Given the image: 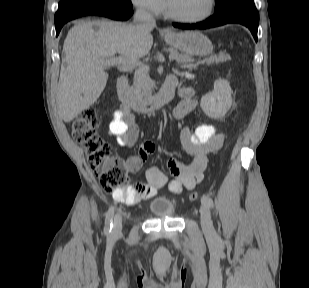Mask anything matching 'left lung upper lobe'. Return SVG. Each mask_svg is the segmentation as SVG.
Masks as SVG:
<instances>
[{
    "label": "left lung upper lobe",
    "mask_w": 309,
    "mask_h": 288,
    "mask_svg": "<svg viewBox=\"0 0 309 288\" xmlns=\"http://www.w3.org/2000/svg\"><path fill=\"white\" fill-rule=\"evenodd\" d=\"M216 1V6H215V12L221 11L230 4L239 1V0H215Z\"/></svg>",
    "instance_id": "1"
}]
</instances>
